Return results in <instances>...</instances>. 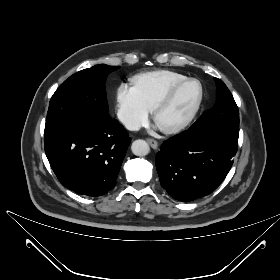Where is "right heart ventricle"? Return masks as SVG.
Instances as JSON below:
<instances>
[{
  "instance_id": "right-heart-ventricle-1",
  "label": "right heart ventricle",
  "mask_w": 280,
  "mask_h": 280,
  "mask_svg": "<svg viewBox=\"0 0 280 280\" xmlns=\"http://www.w3.org/2000/svg\"><path fill=\"white\" fill-rule=\"evenodd\" d=\"M186 78L184 74L161 69L136 74L131 80L145 106L152 110L171 85Z\"/></svg>"
}]
</instances>
